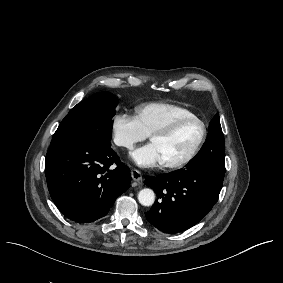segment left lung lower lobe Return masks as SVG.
<instances>
[{"mask_svg":"<svg viewBox=\"0 0 283 283\" xmlns=\"http://www.w3.org/2000/svg\"><path fill=\"white\" fill-rule=\"evenodd\" d=\"M224 157L225 152L205 148L184 169L146 179L144 184L157 195L152 208L145 212L148 222L172 234L197 224L218 200L225 174Z\"/></svg>","mask_w":283,"mask_h":283,"instance_id":"obj_1","label":"left lung lower lobe"}]
</instances>
